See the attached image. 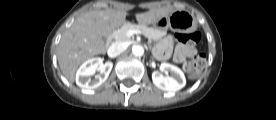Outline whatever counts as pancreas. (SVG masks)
Masks as SVG:
<instances>
[{
	"label": "pancreas",
	"mask_w": 276,
	"mask_h": 120,
	"mask_svg": "<svg viewBox=\"0 0 276 120\" xmlns=\"http://www.w3.org/2000/svg\"><path fill=\"white\" fill-rule=\"evenodd\" d=\"M129 30L141 31V33L144 36H146L149 41L158 40L165 35L164 32H161V31L153 29V28H149L145 25L127 24V25L123 26L122 28H120L119 30H117L114 33V36L119 41H127L129 39V37L127 36V32Z\"/></svg>",
	"instance_id": "pancreas-1"
}]
</instances>
